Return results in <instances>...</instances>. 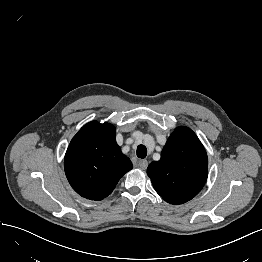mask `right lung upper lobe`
<instances>
[{
    "instance_id": "right-lung-upper-lobe-1",
    "label": "right lung upper lobe",
    "mask_w": 262,
    "mask_h": 262,
    "mask_svg": "<svg viewBox=\"0 0 262 262\" xmlns=\"http://www.w3.org/2000/svg\"><path fill=\"white\" fill-rule=\"evenodd\" d=\"M116 128L92 121L71 140L64 166L72 188L82 197L102 200L133 167L115 140Z\"/></svg>"
}]
</instances>
